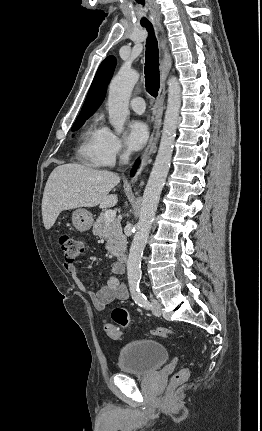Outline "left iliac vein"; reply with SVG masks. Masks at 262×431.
Returning <instances> with one entry per match:
<instances>
[{
  "label": "left iliac vein",
  "instance_id": "4c4485c4",
  "mask_svg": "<svg viewBox=\"0 0 262 431\" xmlns=\"http://www.w3.org/2000/svg\"><path fill=\"white\" fill-rule=\"evenodd\" d=\"M151 306H152V313L155 316H161L162 310H161V302L157 299H151Z\"/></svg>",
  "mask_w": 262,
  "mask_h": 431
}]
</instances>
